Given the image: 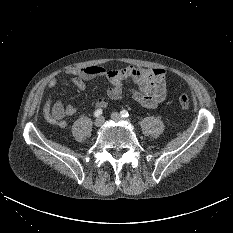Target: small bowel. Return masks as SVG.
<instances>
[{
	"label": "small bowel",
	"instance_id": "1",
	"mask_svg": "<svg viewBox=\"0 0 233 233\" xmlns=\"http://www.w3.org/2000/svg\"><path fill=\"white\" fill-rule=\"evenodd\" d=\"M69 82L79 90H84L86 81L95 78H105L109 82L107 96L111 100H120L125 92V82L131 81L135 87L129 89V94L136 102L145 108L153 109L161 104L167 93L166 71L162 68H141L137 66H125L118 69H110L104 66L92 65L84 68L68 71ZM59 84L57 78L49 82V87L55 88ZM98 109L108 106L105 98L96 101ZM76 112L73 105L65 106L61 101H55L49 96L44 108L43 116L47 122L60 128H65L66 116H72Z\"/></svg>",
	"mask_w": 233,
	"mask_h": 233
}]
</instances>
